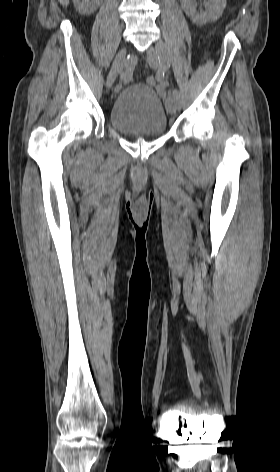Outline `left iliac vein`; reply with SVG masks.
<instances>
[{
  "instance_id": "1",
  "label": "left iliac vein",
  "mask_w": 280,
  "mask_h": 472,
  "mask_svg": "<svg viewBox=\"0 0 280 472\" xmlns=\"http://www.w3.org/2000/svg\"><path fill=\"white\" fill-rule=\"evenodd\" d=\"M158 46H164V44L162 42L158 43L157 47ZM157 47L154 48V47H149L148 51H147V62L148 64L153 67V68H158V69H162L164 66L160 60V55L158 53V50H157ZM177 103H176V100L174 98V95H173V91L171 90V92L169 93V96L166 100V108H167V111L170 113V114H175L176 113V110H177Z\"/></svg>"
}]
</instances>
